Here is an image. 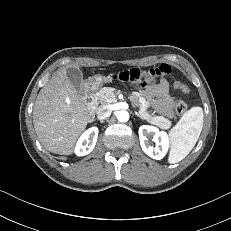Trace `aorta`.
Wrapping results in <instances>:
<instances>
[{
    "label": "aorta",
    "mask_w": 231,
    "mask_h": 231,
    "mask_svg": "<svg viewBox=\"0 0 231 231\" xmlns=\"http://www.w3.org/2000/svg\"><path fill=\"white\" fill-rule=\"evenodd\" d=\"M117 119L120 122H127L129 120V113L127 111H118L117 113Z\"/></svg>",
    "instance_id": "obj_1"
}]
</instances>
